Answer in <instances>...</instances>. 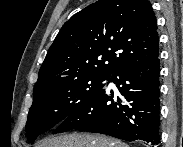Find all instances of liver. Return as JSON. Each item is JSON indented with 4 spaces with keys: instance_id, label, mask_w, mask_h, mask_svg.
<instances>
[{
    "instance_id": "liver-1",
    "label": "liver",
    "mask_w": 183,
    "mask_h": 147,
    "mask_svg": "<svg viewBox=\"0 0 183 147\" xmlns=\"http://www.w3.org/2000/svg\"><path fill=\"white\" fill-rule=\"evenodd\" d=\"M36 147H128L126 144L102 135L69 134L45 139Z\"/></svg>"
}]
</instances>
